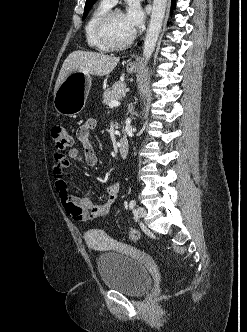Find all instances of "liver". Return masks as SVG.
<instances>
[{"instance_id": "obj_1", "label": "liver", "mask_w": 247, "mask_h": 332, "mask_svg": "<svg viewBox=\"0 0 247 332\" xmlns=\"http://www.w3.org/2000/svg\"><path fill=\"white\" fill-rule=\"evenodd\" d=\"M120 58L105 55L102 53L77 50L72 52L64 61L59 72L54 95L64 79L75 70L83 71L86 74L105 76L113 71Z\"/></svg>"}]
</instances>
